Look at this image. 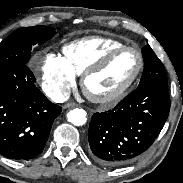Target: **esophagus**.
Returning <instances> with one entry per match:
<instances>
[{"label":"esophagus","mask_w":183,"mask_h":183,"mask_svg":"<svg viewBox=\"0 0 183 183\" xmlns=\"http://www.w3.org/2000/svg\"><path fill=\"white\" fill-rule=\"evenodd\" d=\"M75 106H76L75 103L69 102V103L64 104L63 108L67 109V108H72V107H75Z\"/></svg>","instance_id":"obj_1"}]
</instances>
